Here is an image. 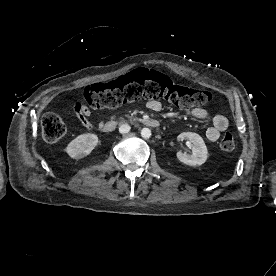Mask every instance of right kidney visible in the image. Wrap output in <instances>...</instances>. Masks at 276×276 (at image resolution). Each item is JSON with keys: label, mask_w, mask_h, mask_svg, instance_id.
Wrapping results in <instances>:
<instances>
[{"label": "right kidney", "mask_w": 276, "mask_h": 276, "mask_svg": "<svg viewBox=\"0 0 276 276\" xmlns=\"http://www.w3.org/2000/svg\"><path fill=\"white\" fill-rule=\"evenodd\" d=\"M97 143V135L92 133L81 134L72 140L65 150L71 158L81 159L89 155Z\"/></svg>", "instance_id": "obj_1"}]
</instances>
